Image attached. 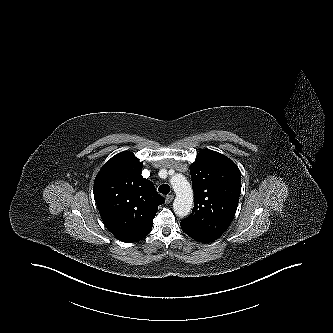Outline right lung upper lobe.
I'll list each match as a JSON object with an SVG mask.
<instances>
[{
  "instance_id": "right-lung-upper-lobe-1",
  "label": "right lung upper lobe",
  "mask_w": 333,
  "mask_h": 333,
  "mask_svg": "<svg viewBox=\"0 0 333 333\" xmlns=\"http://www.w3.org/2000/svg\"><path fill=\"white\" fill-rule=\"evenodd\" d=\"M143 163L131 152L112 157L97 174L94 198L107 229L120 241L137 242L152 229L165 199L142 177Z\"/></svg>"
}]
</instances>
